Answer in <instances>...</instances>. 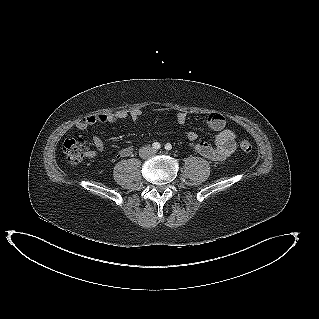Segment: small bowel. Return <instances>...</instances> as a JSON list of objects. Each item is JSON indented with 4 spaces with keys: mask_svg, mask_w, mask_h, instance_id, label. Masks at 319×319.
Returning a JSON list of instances; mask_svg holds the SVG:
<instances>
[{
    "mask_svg": "<svg viewBox=\"0 0 319 319\" xmlns=\"http://www.w3.org/2000/svg\"><path fill=\"white\" fill-rule=\"evenodd\" d=\"M155 112L173 113L179 124H184L188 117V112L183 110H173L170 108H156ZM143 111L141 109H133L130 112L119 110L114 112H103L89 115L76 124V129L84 131L88 127L97 123H113L129 117L136 122L141 117ZM207 124L211 130L216 132L214 143L200 140L196 132H189L187 137L192 148L203 157L215 161L222 162L229 158L236 150V134L226 128L225 117L219 112H213L207 116ZM93 145L95 147L94 154L100 153L104 149V142L99 135L93 136ZM134 147L132 145L124 146L118 149L119 157H129L133 155Z\"/></svg>",
    "mask_w": 319,
    "mask_h": 319,
    "instance_id": "obj_1",
    "label": "small bowel"
}]
</instances>
